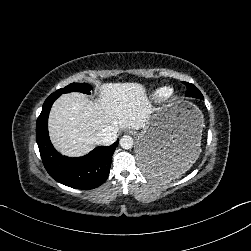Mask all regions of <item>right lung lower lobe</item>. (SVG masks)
I'll use <instances>...</instances> for the list:
<instances>
[{
	"instance_id": "right-lung-lower-lobe-1",
	"label": "right lung lower lobe",
	"mask_w": 251,
	"mask_h": 251,
	"mask_svg": "<svg viewBox=\"0 0 251 251\" xmlns=\"http://www.w3.org/2000/svg\"><path fill=\"white\" fill-rule=\"evenodd\" d=\"M58 97L52 93L46 99L36 123V140L44 167L63 185L86 190L96 188L109 175L112 155L119 140L110 146H99L83 157L70 158L59 154L50 142L47 129L51 106Z\"/></svg>"
}]
</instances>
